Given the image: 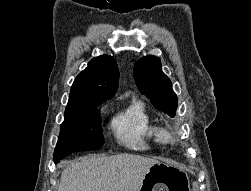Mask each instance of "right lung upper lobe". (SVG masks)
I'll list each match as a JSON object with an SVG mask.
<instances>
[{
    "instance_id": "right-lung-upper-lobe-1",
    "label": "right lung upper lobe",
    "mask_w": 251,
    "mask_h": 191,
    "mask_svg": "<svg viewBox=\"0 0 251 191\" xmlns=\"http://www.w3.org/2000/svg\"><path fill=\"white\" fill-rule=\"evenodd\" d=\"M118 77L113 57L101 55L93 58L74 80L66 111L105 102L114 95Z\"/></svg>"
}]
</instances>
